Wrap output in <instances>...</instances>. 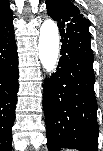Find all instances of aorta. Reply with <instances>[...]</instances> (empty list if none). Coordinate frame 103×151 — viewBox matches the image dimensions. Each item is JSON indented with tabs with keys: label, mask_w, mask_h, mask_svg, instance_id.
Masks as SVG:
<instances>
[{
	"label": "aorta",
	"mask_w": 103,
	"mask_h": 151,
	"mask_svg": "<svg viewBox=\"0 0 103 151\" xmlns=\"http://www.w3.org/2000/svg\"><path fill=\"white\" fill-rule=\"evenodd\" d=\"M59 29L57 24L51 20H45L40 27L38 40V55L43 68L51 74L56 68L59 56Z\"/></svg>",
	"instance_id": "1"
}]
</instances>
